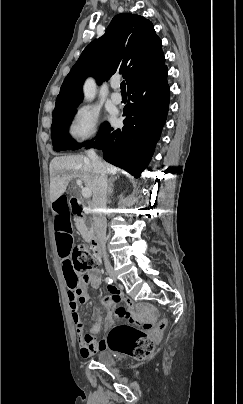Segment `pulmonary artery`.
I'll list each match as a JSON object with an SVG mask.
<instances>
[{"label": "pulmonary artery", "mask_w": 243, "mask_h": 404, "mask_svg": "<svg viewBox=\"0 0 243 404\" xmlns=\"http://www.w3.org/2000/svg\"><path fill=\"white\" fill-rule=\"evenodd\" d=\"M111 87H112V93H111V99L115 104H120L122 102V94L119 91L120 87V78L119 77H114L111 80Z\"/></svg>", "instance_id": "e3ab8cb5"}]
</instances>
